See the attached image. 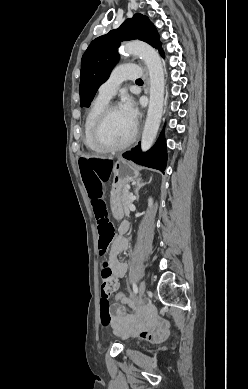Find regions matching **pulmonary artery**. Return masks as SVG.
I'll list each match as a JSON object with an SVG mask.
<instances>
[{
	"label": "pulmonary artery",
	"mask_w": 248,
	"mask_h": 389,
	"mask_svg": "<svg viewBox=\"0 0 248 389\" xmlns=\"http://www.w3.org/2000/svg\"><path fill=\"white\" fill-rule=\"evenodd\" d=\"M140 76V67L133 63H123L115 67L109 77L100 87L99 96L110 100L120 84L125 80H135Z\"/></svg>",
	"instance_id": "e3ab8cb5"
}]
</instances>
